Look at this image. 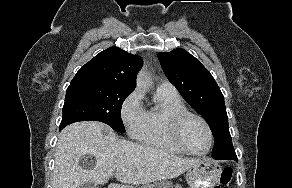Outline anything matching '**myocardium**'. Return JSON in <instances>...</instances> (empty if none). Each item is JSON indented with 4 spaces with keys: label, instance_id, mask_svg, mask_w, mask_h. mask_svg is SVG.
Wrapping results in <instances>:
<instances>
[{
    "label": "myocardium",
    "instance_id": "1",
    "mask_svg": "<svg viewBox=\"0 0 292 188\" xmlns=\"http://www.w3.org/2000/svg\"><path fill=\"white\" fill-rule=\"evenodd\" d=\"M189 118H195V119L199 120L200 122H202V124L205 126V128L207 130L208 137H209V145H208V148L203 152H196V151L189 149L182 139L181 130H182L184 123ZM168 128H169L170 136H171L172 140L174 141V143L183 152H185L187 154L196 155V156H204V155L208 154L213 147L214 136H213L211 126L209 125L208 121L203 116H201L197 113L190 112V111H183V112H179V113L172 115L168 121Z\"/></svg>",
    "mask_w": 292,
    "mask_h": 188
}]
</instances>
